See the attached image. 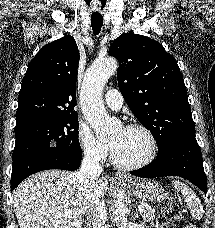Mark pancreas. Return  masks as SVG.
Wrapping results in <instances>:
<instances>
[{
	"mask_svg": "<svg viewBox=\"0 0 215 228\" xmlns=\"http://www.w3.org/2000/svg\"><path fill=\"white\" fill-rule=\"evenodd\" d=\"M140 216L144 222H150L154 226L153 222L155 220V210L154 208H145L144 212H140Z\"/></svg>",
	"mask_w": 215,
	"mask_h": 228,
	"instance_id": "cf45deb5",
	"label": "pancreas"
}]
</instances>
